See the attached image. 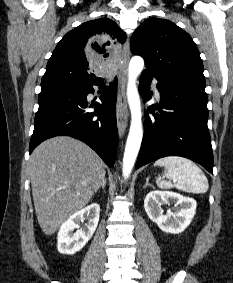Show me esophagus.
Listing matches in <instances>:
<instances>
[{"instance_id": "34e87169", "label": "esophagus", "mask_w": 233, "mask_h": 283, "mask_svg": "<svg viewBox=\"0 0 233 283\" xmlns=\"http://www.w3.org/2000/svg\"><path fill=\"white\" fill-rule=\"evenodd\" d=\"M130 59V45L127 40L123 47L122 65L118 73V97L116 105V117H117V128L120 137L124 135L128 124V110L126 101V82H127V70Z\"/></svg>"}]
</instances>
